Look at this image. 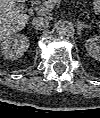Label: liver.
<instances>
[{
	"label": "liver",
	"mask_w": 100,
	"mask_h": 118,
	"mask_svg": "<svg viewBox=\"0 0 100 118\" xmlns=\"http://www.w3.org/2000/svg\"><path fill=\"white\" fill-rule=\"evenodd\" d=\"M27 0H0V39L1 41L15 35L27 24L29 16L20 13L16 2Z\"/></svg>",
	"instance_id": "obj_1"
}]
</instances>
